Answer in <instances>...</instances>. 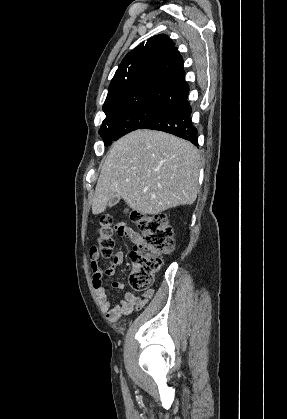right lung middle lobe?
Segmentation results:
<instances>
[{
	"instance_id": "1",
	"label": "right lung middle lobe",
	"mask_w": 287,
	"mask_h": 419,
	"mask_svg": "<svg viewBox=\"0 0 287 419\" xmlns=\"http://www.w3.org/2000/svg\"><path fill=\"white\" fill-rule=\"evenodd\" d=\"M163 104H135L107 113L99 134L105 145H110L125 134L139 129L151 118L163 111Z\"/></svg>"
}]
</instances>
